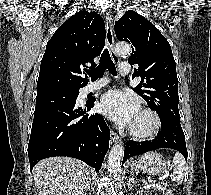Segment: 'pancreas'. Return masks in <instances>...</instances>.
<instances>
[{
    "label": "pancreas",
    "mask_w": 211,
    "mask_h": 195,
    "mask_svg": "<svg viewBox=\"0 0 211 195\" xmlns=\"http://www.w3.org/2000/svg\"><path fill=\"white\" fill-rule=\"evenodd\" d=\"M153 187L157 188L159 191H165L166 187H167V183L166 182H160Z\"/></svg>",
    "instance_id": "pancreas-1"
}]
</instances>
